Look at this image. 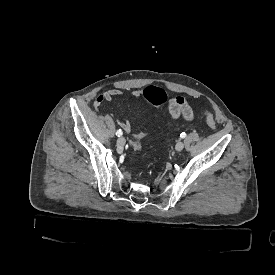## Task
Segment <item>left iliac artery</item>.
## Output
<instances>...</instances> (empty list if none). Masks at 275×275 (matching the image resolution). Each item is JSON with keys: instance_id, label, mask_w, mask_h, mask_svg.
Returning <instances> with one entry per match:
<instances>
[{"instance_id": "left-iliac-artery-1", "label": "left iliac artery", "mask_w": 275, "mask_h": 275, "mask_svg": "<svg viewBox=\"0 0 275 275\" xmlns=\"http://www.w3.org/2000/svg\"><path fill=\"white\" fill-rule=\"evenodd\" d=\"M180 137H181V138H185V137H186V133H185V132L181 133V134H180Z\"/></svg>"}]
</instances>
